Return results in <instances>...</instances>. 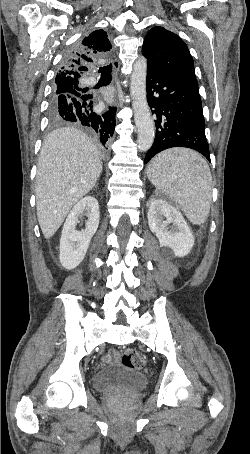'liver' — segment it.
<instances>
[{"instance_id":"obj_1","label":"liver","mask_w":250,"mask_h":454,"mask_svg":"<svg viewBox=\"0 0 250 454\" xmlns=\"http://www.w3.org/2000/svg\"><path fill=\"white\" fill-rule=\"evenodd\" d=\"M101 171L100 151L85 133L62 127L47 135L38 159L35 188L37 218L46 239L93 189Z\"/></svg>"}]
</instances>
